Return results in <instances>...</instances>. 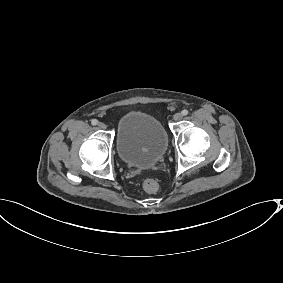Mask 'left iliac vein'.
I'll list each match as a JSON object with an SVG mask.
<instances>
[{
  "label": "left iliac vein",
  "instance_id": "left-iliac-vein-1",
  "mask_svg": "<svg viewBox=\"0 0 283 283\" xmlns=\"http://www.w3.org/2000/svg\"><path fill=\"white\" fill-rule=\"evenodd\" d=\"M183 118V115H182V113H175L174 114V116H173V119L175 120V121H179V120H181Z\"/></svg>",
  "mask_w": 283,
  "mask_h": 283
}]
</instances>
